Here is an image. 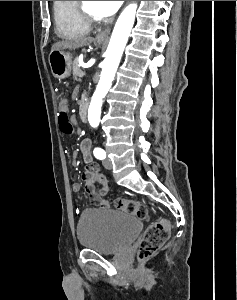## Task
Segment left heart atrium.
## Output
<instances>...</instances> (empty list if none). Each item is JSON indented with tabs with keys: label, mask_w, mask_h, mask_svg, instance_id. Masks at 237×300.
<instances>
[{
	"label": "left heart atrium",
	"mask_w": 237,
	"mask_h": 300,
	"mask_svg": "<svg viewBox=\"0 0 237 300\" xmlns=\"http://www.w3.org/2000/svg\"><path fill=\"white\" fill-rule=\"evenodd\" d=\"M123 1H100V7L105 16H111L117 12Z\"/></svg>",
	"instance_id": "1"
}]
</instances>
